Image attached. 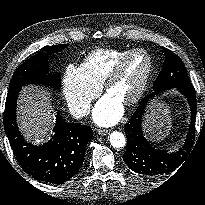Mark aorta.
I'll use <instances>...</instances> for the list:
<instances>
[{"instance_id":"obj_1","label":"aorta","mask_w":205,"mask_h":205,"mask_svg":"<svg viewBox=\"0 0 205 205\" xmlns=\"http://www.w3.org/2000/svg\"><path fill=\"white\" fill-rule=\"evenodd\" d=\"M109 141L112 147L122 148L126 145V138L123 133L114 131L109 136Z\"/></svg>"}]
</instances>
